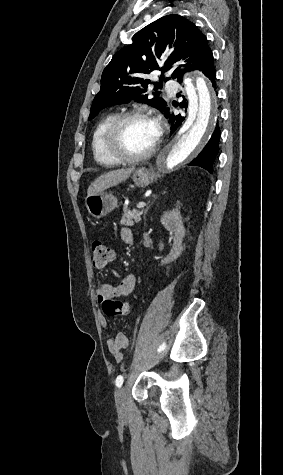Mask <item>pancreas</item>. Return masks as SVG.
Masks as SVG:
<instances>
[{
	"instance_id": "1",
	"label": "pancreas",
	"mask_w": 283,
	"mask_h": 475,
	"mask_svg": "<svg viewBox=\"0 0 283 475\" xmlns=\"http://www.w3.org/2000/svg\"><path fill=\"white\" fill-rule=\"evenodd\" d=\"M123 216L120 222L121 226H134L135 222L138 224L141 220L143 212L141 210H127L126 206H123Z\"/></svg>"
}]
</instances>
